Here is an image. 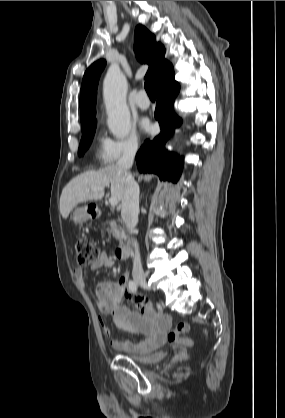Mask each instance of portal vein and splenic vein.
Returning a JSON list of instances; mask_svg holds the SVG:
<instances>
[{"label":"portal vein and splenic vein","instance_id":"portal-vein-and-splenic-vein-1","mask_svg":"<svg viewBox=\"0 0 285 418\" xmlns=\"http://www.w3.org/2000/svg\"><path fill=\"white\" fill-rule=\"evenodd\" d=\"M102 190H104L103 187H96V188L88 189L87 191H102ZM118 202H119V200L115 197H111L109 199V203L113 207L116 206L118 204Z\"/></svg>","mask_w":285,"mask_h":418}]
</instances>
